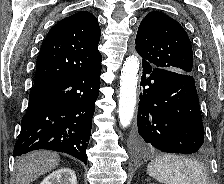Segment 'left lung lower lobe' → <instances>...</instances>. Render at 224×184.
Returning <instances> with one entry per match:
<instances>
[{"mask_svg": "<svg viewBox=\"0 0 224 184\" xmlns=\"http://www.w3.org/2000/svg\"><path fill=\"white\" fill-rule=\"evenodd\" d=\"M142 67L137 147L168 153L202 152L204 127L193 76Z\"/></svg>", "mask_w": 224, "mask_h": 184, "instance_id": "left-lung-lower-lobe-1", "label": "left lung lower lobe"}]
</instances>
